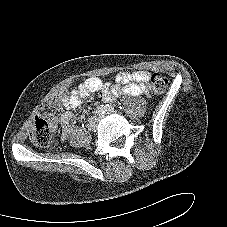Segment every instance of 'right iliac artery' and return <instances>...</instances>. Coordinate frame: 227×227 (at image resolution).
I'll return each mask as SVG.
<instances>
[{
    "label": "right iliac artery",
    "mask_w": 227,
    "mask_h": 227,
    "mask_svg": "<svg viewBox=\"0 0 227 227\" xmlns=\"http://www.w3.org/2000/svg\"><path fill=\"white\" fill-rule=\"evenodd\" d=\"M105 112H106L105 106L101 105V106L97 107L93 113L96 116H102L103 114H105Z\"/></svg>",
    "instance_id": "obj_1"
}]
</instances>
